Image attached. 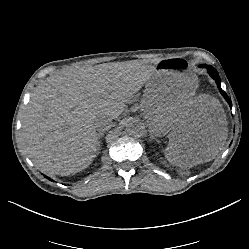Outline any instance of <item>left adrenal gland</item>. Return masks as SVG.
I'll use <instances>...</instances> for the list:
<instances>
[{"mask_svg":"<svg viewBox=\"0 0 249 249\" xmlns=\"http://www.w3.org/2000/svg\"><path fill=\"white\" fill-rule=\"evenodd\" d=\"M151 140H155L157 143H159V140H157L156 138H154L153 136H150V141Z\"/></svg>","mask_w":249,"mask_h":249,"instance_id":"1","label":"left adrenal gland"}]
</instances>
